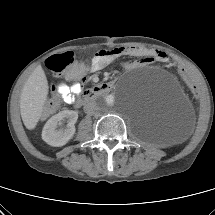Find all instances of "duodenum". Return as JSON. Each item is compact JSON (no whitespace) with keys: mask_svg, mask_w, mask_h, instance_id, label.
Returning <instances> with one entry per match:
<instances>
[{"mask_svg":"<svg viewBox=\"0 0 215 215\" xmlns=\"http://www.w3.org/2000/svg\"><path fill=\"white\" fill-rule=\"evenodd\" d=\"M115 84L112 81L102 82L96 86L86 90L75 102L76 107L87 105L94 101L97 97L107 94L113 90Z\"/></svg>","mask_w":215,"mask_h":215,"instance_id":"obj_1","label":"duodenum"}]
</instances>
